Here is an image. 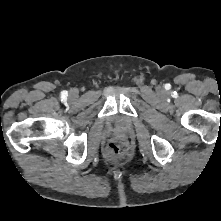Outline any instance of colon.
<instances>
[{"instance_id":"obj_1","label":"colon","mask_w":221,"mask_h":221,"mask_svg":"<svg viewBox=\"0 0 221 221\" xmlns=\"http://www.w3.org/2000/svg\"><path fill=\"white\" fill-rule=\"evenodd\" d=\"M128 149L127 143L122 140H114L107 147V157L114 160L126 153Z\"/></svg>"}]
</instances>
